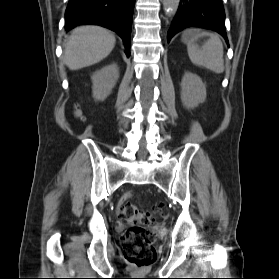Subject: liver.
<instances>
[{"label":"liver","mask_w":279,"mask_h":279,"mask_svg":"<svg viewBox=\"0 0 279 279\" xmlns=\"http://www.w3.org/2000/svg\"><path fill=\"white\" fill-rule=\"evenodd\" d=\"M115 42V36L105 28L77 27L66 40L63 61L70 70L88 67L106 58Z\"/></svg>","instance_id":"liver-1"}]
</instances>
